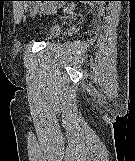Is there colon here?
<instances>
[{"mask_svg": "<svg viewBox=\"0 0 135 161\" xmlns=\"http://www.w3.org/2000/svg\"><path fill=\"white\" fill-rule=\"evenodd\" d=\"M71 10H72V7H71V6H66V7L64 8V11H65L66 13H70Z\"/></svg>", "mask_w": 135, "mask_h": 161, "instance_id": "colon-1", "label": "colon"}]
</instances>
